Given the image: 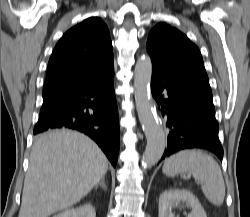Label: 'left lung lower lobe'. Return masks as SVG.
Wrapping results in <instances>:
<instances>
[{
  "label": "left lung lower lobe",
  "mask_w": 250,
  "mask_h": 217,
  "mask_svg": "<svg viewBox=\"0 0 250 217\" xmlns=\"http://www.w3.org/2000/svg\"><path fill=\"white\" fill-rule=\"evenodd\" d=\"M151 90L169 133L161 160L191 148L207 149L222 160L219 125L206 73L169 68L152 60Z\"/></svg>",
  "instance_id": "0a47b994"
}]
</instances>
